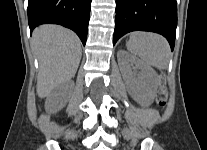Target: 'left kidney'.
Here are the masks:
<instances>
[{
    "instance_id": "obj_1",
    "label": "left kidney",
    "mask_w": 207,
    "mask_h": 150,
    "mask_svg": "<svg viewBox=\"0 0 207 150\" xmlns=\"http://www.w3.org/2000/svg\"><path fill=\"white\" fill-rule=\"evenodd\" d=\"M118 62L129 94L140 105L150 106L158 87V75L155 70L124 50L118 52ZM133 65L140 70L137 78L131 72L130 67ZM137 83H140L139 87Z\"/></svg>"
}]
</instances>
